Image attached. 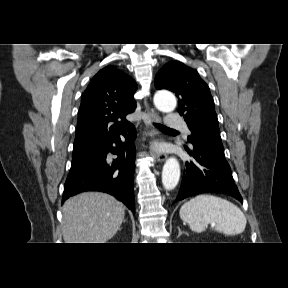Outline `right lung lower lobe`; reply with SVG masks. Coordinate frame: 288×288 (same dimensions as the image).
Listing matches in <instances>:
<instances>
[{
  "instance_id": "98d812e1",
  "label": "right lung lower lobe",
  "mask_w": 288,
  "mask_h": 288,
  "mask_svg": "<svg viewBox=\"0 0 288 288\" xmlns=\"http://www.w3.org/2000/svg\"><path fill=\"white\" fill-rule=\"evenodd\" d=\"M122 132L105 144L72 159L71 169L64 185L62 203L83 191H102L115 196L135 213L133 179L135 149L132 141L135 130ZM125 137V142L121 137ZM116 146H113V144ZM118 157L110 159L108 153Z\"/></svg>"
}]
</instances>
